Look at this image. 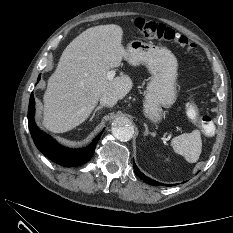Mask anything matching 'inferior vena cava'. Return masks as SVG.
Listing matches in <instances>:
<instances>
[{
	"mask_svg": "<svg viewBox=\"0 0 233 233\" xmlns=\"http://www.w3.org/2000/svg\"><path fill=\"white\" fill-rule=\"evenodd\" d=\"M117 101H118L117 96L110 92L104 93L100 98V104L102 106L111 107L114 106L117 103Z\"/></svg>",
	"mask_w": 233,
	"mask_h": 233,
	"instance_id": "inferior-vena-cava-1",
	"label": "inferior vena cava"
}]
</instances>
